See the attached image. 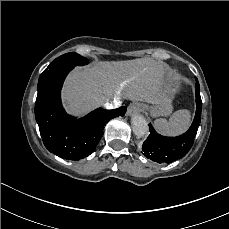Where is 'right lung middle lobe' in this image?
I'll list each match as a JSON object with an SVG mask.
<instances>
[{"instance_id": "dd1d6c3e", "label": "right lung middle lobe", "mask_w": 229, "mask_h": 229, "mask_svg": "<svg viewBox=\"0 0 229 229\" xmlns=\"http://www.w3.org/2000/svg\"><path fill=\"white\" fill-rule=\"evenodd\" d=\"M88 63V60L77 53L71 52L66 53L58 58H56L50 65L42 72L40 76H43L50 71L56 70L61 67L66 66H82Z\"/></svg>"}]
</instances>
